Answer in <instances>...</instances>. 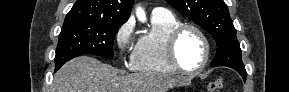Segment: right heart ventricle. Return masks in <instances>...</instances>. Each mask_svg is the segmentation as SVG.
Wrapping results in <instances>:
<instances>
[{
  "instance_id": "obj_1",
  "label": "right heart ventricle",
  "mask_w": 289,
  "mask_h": 92,
  "mask_svg": "<svg viewBox=\"0 0 289 92\" xmlns=\"http://www.w3.org/2000/svg\"><path fill=\"white\" fill-rule=\"evenodd\" d=\"M180 20L169 11L153 12L151 28L138 40L131 60L132 68L139 72L173 75L177 71L166 56V40Z\"/></svg>"
}]
</instances>
